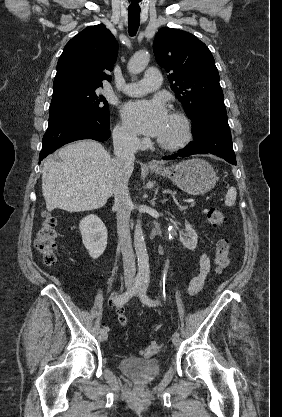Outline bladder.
Masks as SVG:
<instances>
[{
    "mask_svg": "<svg viewBox=\"0 0 282 417\" xmlns=\"http://www.w3.org/2000/svg\"><path fill=\"white\" fill-rule=\"evenodd\" d=\"M119 369L134 383L146 385L159 375L161 366L157 359L124 356L120 360Z\"/></svg>",
    "mask_w": 282,
    "mask_h": 417,
    "instance_id": "bladder-1",
    "label": "bladder"
}]
</instances>
